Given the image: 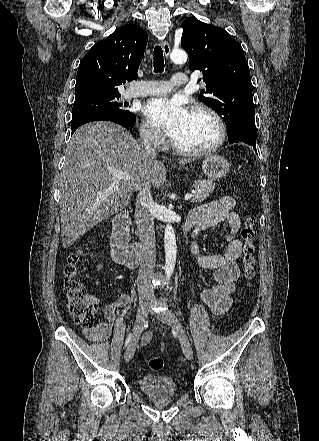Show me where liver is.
<instances>
[{
    "mask_svg": "<svg viewBox=\"0 0 319 441\" xmlns=\"http://www.w3.org/2000/svg\"><path fill=\"white\" fill-rule=\"evenodd\" d=\"M111 170L126 171L133 179L117 180ZM165 179L163 162L149 155L120 125L97 121L79 127L67 147L60 174L63 247L72 246L93 226L121 211L134 190H146L150 185L159 188Z\"/></svg>",
    "mask_w": 319,
    "mask_h": 441,
    "instance_id": "obj_1",
    "label": "liver"
}]
</instances>
